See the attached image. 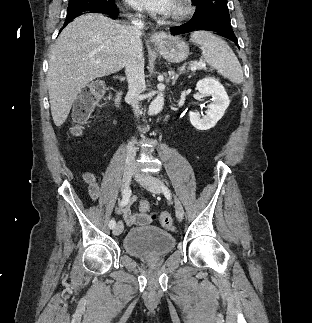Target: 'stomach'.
I'll return each instance as SVG.
<instances>
[{
    "label": "stomach",
    "mask_w": 312,
    "mask_h": 323,
    "mask_svg": "<svg viewBox=\"0 0 312 323\" xmlns=\"http://www.w3.org/2000/svg\"><path fill=\"white\" fill-rule=\"evenodd\" d=\"M160 54L167 62H184L189 56V46L178 36H165L160 42Z\"/></svg>",
    "instance_id": "1"
}]
</instances>
